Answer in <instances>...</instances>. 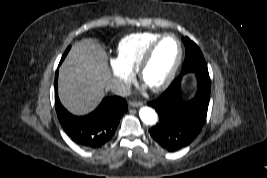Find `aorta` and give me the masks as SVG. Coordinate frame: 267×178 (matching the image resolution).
I'll list each match as a JSON object with an SVG mask.
<instances>
[{
    "mask_svg": "<svg viewBox=\"0 0 267 178\" xmlns=\"http://www.w3.org/2000/svg\"><path fill=\"white\" fill-rule=\"evenodd\" d=\"M141 120L147 125H154L157 122V113L150 107H142L139 110Z\"/></svg>",
    "mask_w": 267,
    "mask_h": 178,
    "instance_id": "1",
    "label": "aorta"
}]
</instances>
